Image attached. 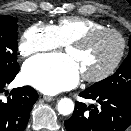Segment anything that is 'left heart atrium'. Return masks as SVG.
<instances>
[{
    "instance_id": "1",
    "label": "left heart atrium",
    "mask_w": 131,
    "mask_h": 131,
    "mask_svg": "<svg viewBox=\"0 0 131 131\" xmlns=\"http://www.w3.org/2000/svg\"><path fill=\"white\" fill-rule=\"evenodd\" d=\"M80 70L69 55H39L29 59L23 66L25 83L46 94H56L74 87L80 78Z\"/></svg>"
}]
</instances>
